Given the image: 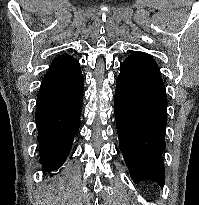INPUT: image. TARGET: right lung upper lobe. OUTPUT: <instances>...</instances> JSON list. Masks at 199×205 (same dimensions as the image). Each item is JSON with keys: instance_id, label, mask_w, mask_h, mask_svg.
<instances>
[{"instance_id": "right-lung-upper-lobe-1", "label": "right lung upper lobe", "mask_w": 199, "mask_h": 205, "mask_svg": "<svg viewBox=\"0 0 199 205\" xmlns=\"http://www.w3.org/2000/svg\"><path fill=\"white\" fill-rule=\"evenodd\" d=\"M79 70L80 64L74 57L62 54L53 60L47 73H54L55 75L66 77Z\"/></svg>"}]
</instances>
